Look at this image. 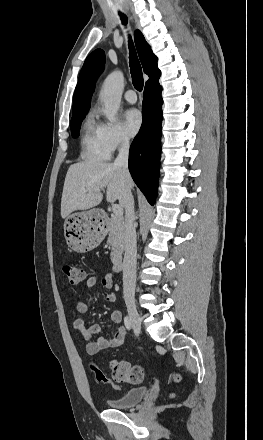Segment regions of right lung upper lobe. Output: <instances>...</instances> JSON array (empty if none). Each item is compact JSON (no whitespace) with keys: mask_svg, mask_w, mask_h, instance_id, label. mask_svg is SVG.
<instances>
[{"mask_svg":"<svg viewBox=\"0 0 263 440\" xmlns=\"http://www.w3.org/2000/svg\"><path fill=\"white\" fill-rule=\"evenodd\" d=\"M134 40L143 70L149 76L146 83L158 79L160 70L157 68V57L139 30L135 31ZM104 64L105 54L101 49L93 51L86 58L73 97V117L88 112L95 81L103 71Z\"/></svg>","mask_w":263,"mask_h":440,"instance_id":"obj_1","label":"right lung upper lobe"}]
</instances>
